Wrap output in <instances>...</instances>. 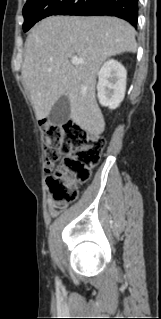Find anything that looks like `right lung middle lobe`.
<instances>
[{
	"label": "right lung middle lobe",
	"instance_id": "1",
	"mask_svg": "<svg viewBox=\"0 0 161 319\" xmlns=\"http://www.w3.org/2000/svg\"><path fill=\"white\" fill-rule=\"evenodd\" d=\"M86 0H27L23 8V30L28 31L36 22L50 15H69Z\"/></svg>",
	"mask_w": 161,
	"mask_h": 319
}]
</instances>
